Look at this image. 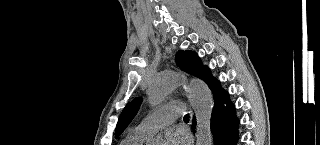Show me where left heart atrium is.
Wrapping results in <instances>:
<instances>
[{
	"mask_svg": "<svg viewBox=\"0 0 320 145\" xmlns=\"http://www.w3.org/2000/svg\"><path fill=\"white\" fill-rule=\"evenodd\" d=\"M169 145H189L190 137L183 130H177L171 133L168 137Z\"/></svg>",
	"mask_w": 320,
	"mask_h": 145,
	"instance_id": "obj_1",
	"label": "left heart atrium"
}]
</instances>
